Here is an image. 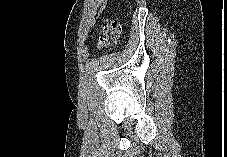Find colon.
I'll return each instance as SVG.
<instances>
[{"label": "colon", "mask_w": 227, "mask_h": 157, "mask_svg": "<svg viewBox=\"0 0 227 157\" xmlns=\"http://www.w3.org/2000/svg\"><path fill=\"white\" fill-rule=\"evenodd\" d=\"M122 35V27L115 21H106L102 27V37L99 41V48L117 44Z\"/></svg>", "instance_id": "obj_1"}]
</instances>
